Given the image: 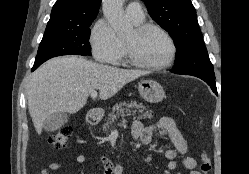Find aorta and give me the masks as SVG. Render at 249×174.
<instances>
[{"label":"aorta","instance_id":"aorta-1","mask_svg":"<svg viewBox=\"0 0 249 174\" xmlns=\"http://www.w3.org/2000/svg\"><path fill=\"white\" fill-rule=\"evenodd\" d=\"M124 0H103V13L112 28L119 36H123L130 30V23L124 14Z\"/></svg>","mask_w":249,"mask_h":174}]
</instances>
